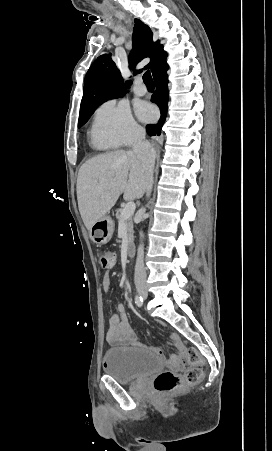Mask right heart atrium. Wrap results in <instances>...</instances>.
Wrapping results in <instances>:
<instances>
[{"mask_svg": "<svg viewBox=\"0 0 272 451\" xmlns=\"http://www.w3.org/2000/svg\"><path fill=\"white\" fill-rule=\"evenodd\" d=\"M140 126L129 109L115 102L100 106L94 116L91 135L100 145H128L139 133Z\"/></svg>", "mask_w": 272, "mask_h": 451, "instance_id": "1", "label": "right heart atrium"}]
</instances>
